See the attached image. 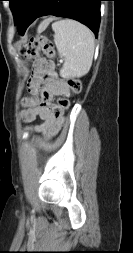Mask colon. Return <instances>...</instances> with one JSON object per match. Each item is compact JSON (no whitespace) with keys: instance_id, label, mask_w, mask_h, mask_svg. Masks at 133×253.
<instances>
[{"instance_id":"obj_1","label":"colon","mask_w":133,"mask_h":253,"mask_svg":"<svg viewBox=\"0 0 133 253\" xmlns=\"http://www.w3.org/2000/svg\"><path fill=\"white\" fill-rule=\"evenodd\" d=\"M22 53L28 60L36 59L41 53L46 56H55V49L53 42L46 36L39 35L31 38L22 48ZM70 92L78 94L81 91V82L75 78H66ZM70 107V100L68 97L60 98L58 103L54 107V113L56 115L63 114Z\"/></svg>"}]
</instances>
